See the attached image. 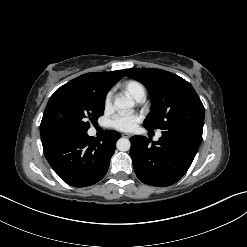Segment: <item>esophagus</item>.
Segmentation results:
<instances>
[{
    "instance_id": "esophagus-1",
    "label": "esophagus",
    "mask_w": 247,
    "mask_h": 247,
    "mask_svg": "<svg viewBox=\"0 0 247 247\" xmlns=\"http://www.w3.org/2000/svg\"><path fill=\"white\" fill-rule=\"evenodd\" d=\"M122 136H123V137H126V138H129L131 135L128 134V133H123Z\"/></svg>"
}]
</instances>
